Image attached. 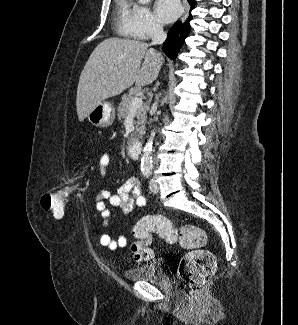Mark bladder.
I'll use <instances>...</instances> for the list:
<instances>
[{
	"label": "bladder",
	"mask_w": 298,
	"mask_h": 325,
	"mask_svg": "<svg viewBox=\"0 0 298 325\" xmlns=\"http://www.w3.org/2000/svg\"><path fill=\"white\" fill-rule=\"evenodd\" d=\"M124 277L133 282H148L166 290L173 288L170 277L165 273L161 262L154 260L127 269Z\"/></svg>",
	"instance_id": "bladder-1"
}]
</instances>
